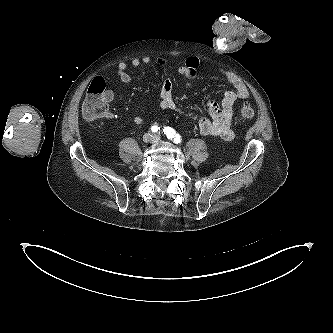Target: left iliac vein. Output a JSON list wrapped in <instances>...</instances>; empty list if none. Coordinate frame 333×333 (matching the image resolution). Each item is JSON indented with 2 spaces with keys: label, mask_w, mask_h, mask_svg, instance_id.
Returning a JSON list of instances; mask_svg holds the SVG:
<instances>
[{
  "label": "left iliac vein",
  "mask_w": 333,
  "mask_h": 333,
  "mask_svg": "<svg viewBox=\"0 0 333 333\" xmlns=\"http://www.w3.org/2000/svg\"><path fill=\"white\" fill-rule=\"evenodd\" d=\"M160 140V137L158 136V135H156L155 137H154V141L156 142V141H159Z\"/></svg>",
  "instance_id": "left-iliac-vein-1"
}]
</instances>
